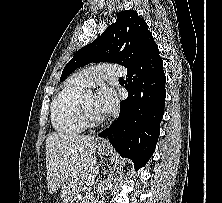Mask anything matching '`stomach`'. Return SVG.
Masks as SVG:
<instances>
[{
  "label": "stomach",
  "instance_id": "obj_1",
  "mask_svg": "<svg viewBox=\"0 0 222 203\" xmlns=\"http://www.w3.org/2000/svg\"><path fill=\"white\" fill-rule=\"evenodd\" d=\"M99 151L102 153H108L110 150L108 148H104V147H99ZM78 180H74L72 182H70L69 184H67L65 187H63L62 192H61V196L65 199V200H70L72 198H74L76 191L78 190Z\"/></svg>",
  "mask_w": 222,
  "mask_h": 203
}]
</instances>
